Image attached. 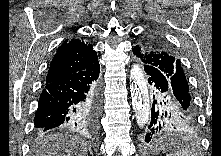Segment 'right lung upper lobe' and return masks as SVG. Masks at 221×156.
Returning <instances> with one entry per match:
<instances>
[{
  "mask_svg": "<svg viewBox=\"0 0 221 156\" xmlns=\"http://www.w3.org/2000/svg\"><path fill=\"white\" fill-rule=\"evenodd\" d=\"M98 61L97 53L83 38L65 40L50 63L46 83L82 71Z\"/></svg>",
  "mask_w": 221,
  "mask_h": 156,
  "instance_id": "cb5924a9",
  "label": "right lung upper lobe"
}]
</instances>
